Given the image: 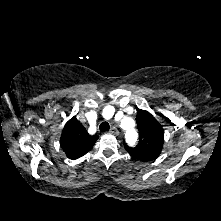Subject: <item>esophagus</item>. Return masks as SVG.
Returning a JSON list of instances; mask_svg holds the SVG:
<instances>
[{"label":"esophagus","mask_w":221,"mask_h":221,"mask_svg":"<svg viewBox=\"0 0 221 221\" xmlns=\"http://www.w3.org/2000/svg\"><path fill=\"white\" fill-rule=\"evenodd\" d=\"M110 133L114 134V135H118L119 134V131L115 128V127H112L110 129Z\"/></svg>","instance_id":"esophagus-1"}]
</instances>
